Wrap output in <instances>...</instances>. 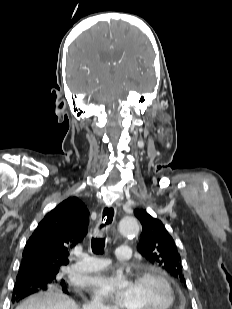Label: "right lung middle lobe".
Returning <instances> with one entry per match:
<instances>
[{"instance_id": "1", "label": "right lung middle lobe", "mask_w": 232, "mask_h": 309, "mask_svg": "<svg viewBox=\"0 0 232 309\" xmlns=\"http://www.w3.org/2000/svg\"><path fill=\"white\" fill-rule=\"evenodd\" d=\"M59 270H50V271H40L36 274L19 271L16 278V283H29L32 281L38 282L42 287H64L65 282L63 279L58 277Z\"/></svg>"}]
</instances>
